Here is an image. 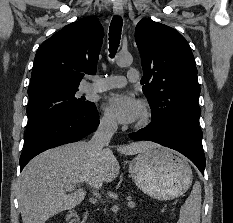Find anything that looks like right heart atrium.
Masks as SVG:
<instances>
[{
    "instance_id": "d8ad5b80",
    "label": "right heart atrium",
    "mask_w": 233,
    "mask_h": 223,
    "mask_svg": "<svg viewBox=\"0 0 233 223\" xmlns=\"http://www.w3.org/2000/svg\"><path fill=\"white\" fill-rule=\"evenodd\" d=\"M99 126L101 129L109 132H113L117 128V124L108 114H104L99 121Z\"/></svg>"
}]
</instances>
